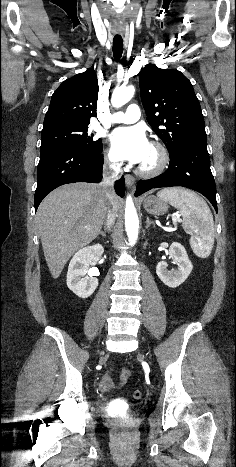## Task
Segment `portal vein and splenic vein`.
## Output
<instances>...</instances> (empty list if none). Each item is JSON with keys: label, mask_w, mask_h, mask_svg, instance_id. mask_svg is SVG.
Wrapping results in <instances>:
<instances>
[{"label": "portal vein and splenic vein", "mask_w": 236, "mask_h": 467, "mask_svg": "<svg viewBox=\"0 0 236 467\" xmlns=\"http://www.w3.org/2000/svg\"><path fill=\"white\" fill-rule=\"evenodd\" d=\"M178 221V219H174V223L176 224V222Z\"/></svg>", "instance_id": "18ae733b"}]
</instances>
